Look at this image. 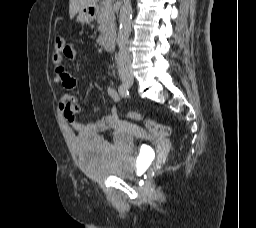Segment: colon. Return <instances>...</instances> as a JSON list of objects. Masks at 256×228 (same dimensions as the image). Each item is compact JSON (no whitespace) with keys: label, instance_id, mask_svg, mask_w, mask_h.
Masks as SVG:
<instances>
[{"label":"colon","instance_id":"colon-1","mask_svg":"<svg viewBox=\"0 0 256 228\" xmlns=\"http://www.w3.org/2000/svg\"><path fill=\"white\" fill-rule=\"evenodd\" d=\"M67 43L62 37H57L54 41L55 55L61 56L67 50ZM129 117L136 121H144L146 129L152 134L159 137H166L171 134V128L165 124L157 123L153 120L144 119L143 115L138 111L129 112Z\"/></svg>","mask_w":256,"mask_h":228}]
</instances>
